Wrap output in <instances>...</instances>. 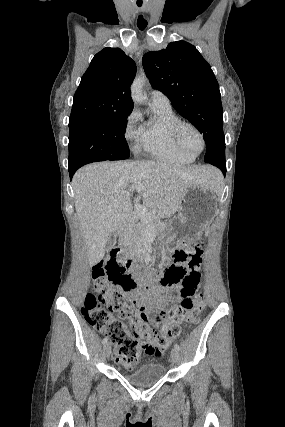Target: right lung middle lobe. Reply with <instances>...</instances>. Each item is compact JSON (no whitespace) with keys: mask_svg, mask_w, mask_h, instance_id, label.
Listing matches in <instances>:
<instances>
[{"mask_svg":"<svg viewBox=\"0 0 285 427\" xmlns=\"http://www.w3.org/2000/svg\"><path fill=\"white\" fill-rule=\"evenodd\" d=\"M129 114H110L69 121L68 170L104 160L130 156L124 137Z\"/></svg>","mask_w":285,"mask_h":427,"instance_id":"right-lung-middle-lobe-1","label":"right lung middle lobe"}]
</instances>
